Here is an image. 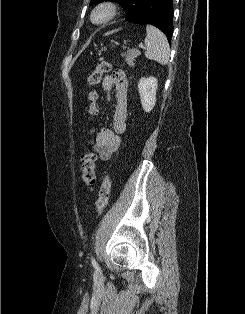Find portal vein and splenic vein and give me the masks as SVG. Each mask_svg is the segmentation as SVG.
I'll return each instance as SVG.
<instances>
[{
    "instance_id": "portal-vein-and-splenic-vein-1",
    "label": "portal vein and splenic vein",
    "mask_w": 245,
    "mask_h": 314,
    "mask_svg": "<svg viewBox=\"0 0 245 314\" xmlns=\"http://www.w3.org/2000/svg\"><path fill=\"white\" fill-rule=\"evenodd\" d=\"M138 46H139V48L144 49V45L143 44H139Z\"/></svg>"
}]
</instances>
